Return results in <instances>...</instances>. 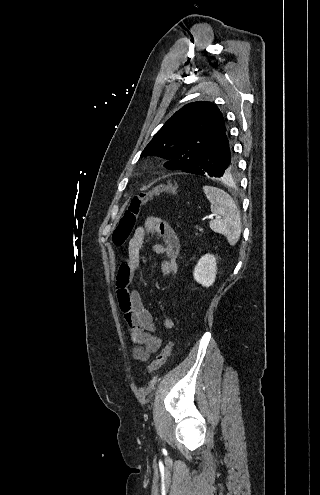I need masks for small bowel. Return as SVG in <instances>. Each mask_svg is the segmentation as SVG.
Masks as SVG:
<instances>
[{"instance_id": "c3829d8e", "label": "small bowel", "mask_w": 320, "mask_h": 495, "mask_svg": "<svg viewBox=\"0 0 320 495\" xmlns=\"http://www.w3.org/2000/svg\"><path fill=\"white\" fill-rule=\"evenodd\" d=\"M146 239L161 241L153 244V250L165 257L160 269L162 274L167 276L177 272L180 249L179 239L174 229L161 217L147 216L136 228L128 244V257L119 268L118 299L128 329L129 340L132 343L133 357L140 361L148 360L162 345V339L156 333L154 318L145 308L139 292L126 287L134 274L140 270V252ZM163 326L166 329H173L175 322L171 318H165Z\"/></svg>"}]
</instances>
